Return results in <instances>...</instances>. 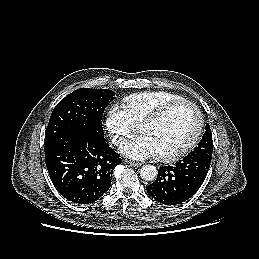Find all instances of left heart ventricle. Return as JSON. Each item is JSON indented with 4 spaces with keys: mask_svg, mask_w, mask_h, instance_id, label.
I'll return each mask as SVG.
<instances>
[{
    "mask_svg": "<svg viewBox=\"0 0 259 259\" xmlns=\"http://www.w3.org/2000/svg\"><path fill=\"white\" fill-rule=\"evenodd\" d=\"M197 127L195 111L186 105L179 106L159 122L142 125L140 133L152 142L157 155L180 149L194 134Z\"/></svg>",
    "mask_w": 259,
    "mask_h": 259,
    "instance_id": "left-heart-ventricle-1",
    "label": "left heart ventricle"
}]
</instances>
